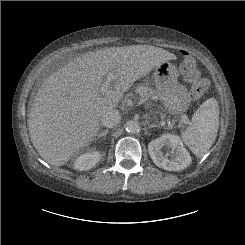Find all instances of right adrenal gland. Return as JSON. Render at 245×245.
Wrapping results in <instances>:
<instances>
[{"label":"right adrenal gland","mask_w":245,"mask_h":245,"mask_svg":"<svg viewBox=\"0 0 245 245\" xmlns=\"http://www.w3.org/2000/svg\"><path fill=\"white\" fill-rule=\"evenodd\" d=\"M108 132H109L108 129L105 131H101L94 140L98 141L101 137L105 138V136L107 135Z\"/></svg>","instance_id":"2a0ac1e0"}]
</instances>
